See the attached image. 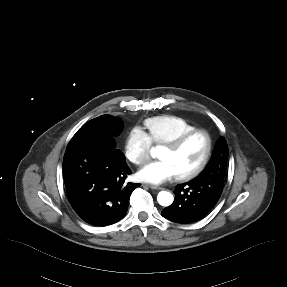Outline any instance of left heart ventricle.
<instances>
[{
	"instance_id": "b2bd125f",
	"label": "left heart ventricle",
	"mask_w": 287,
	"mask_h": 287,
	"mask_svg": "<svg viewBox=\"0 0 287 287\" xmlns=\"http://www.w3.org/2000/svg\"><path fill=\"white\" fill-rule=\"evenodd\" d=\"M206 148L203 135H196L190 139L179 151L163 148L159 154L161 160L168 161L174 168L177 176L193 169L201 161Z\"/></svg>"
}]
</instances>
